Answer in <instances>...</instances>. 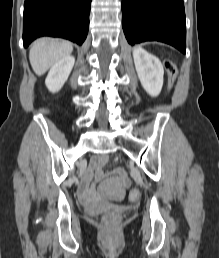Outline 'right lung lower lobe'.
Returning <instances> with one entry per match:
<instances>
[{"mask_svg": "<svg viewBox=\"0 0 219 258\" xmlns=\"http://www.w3.org/2000/svg\"><path fill=\"white\" fill-rule=\"evenodd\" d=\"M91 0H25L23 44L41 36L61 37L81 45L89 28Z\"/></svg>", "mask_w": 219, "mask_h": 258, "instance_id": "obj_1", "label": "right lung lower lobe"}]
</instances>
